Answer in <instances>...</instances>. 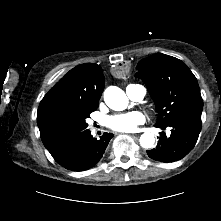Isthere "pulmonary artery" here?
<instances>
[{
    "mask_svg": "<svg viewBox=\"0 0 221 221\" xmlns=\"http://www.w3.org/2000/svg\"><path fill=\"white\" fill-rule=\"evenodd\" d=\"M126 93L130 99L141 101L146 94V89L139 84H130L126 87Z\"/></svg>",
    "mask_w": 221,
    "mask_h": 221,
    "instance_id": "e3ab8cb5",
    "label": "pulmonary artery"
}]
</instances>
